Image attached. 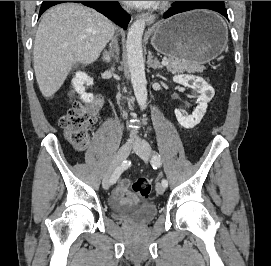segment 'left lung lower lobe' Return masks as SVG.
<instances>
[{"label":"left lung lower lobe","mask_w":271,"mask_h":266,"mask_svg":"<svg viewBox=\"0 0 271 266\" xmlns=\"http://www.w3.org/2000/svg\"><path fill=\"white\" fill-rule=\"evenodd\" d=\"M193 9H210L213 11H216L220 14H222L224 17H228L227 15V11H220V10H216L213 8H207V7H203L199 4H195V3H189V2H184V1H178V2H174L172 4V7L164 13L163 18L166 19L172 15H175L177 13H181V12H185V11H190Z\"/></svg>","instance_id":"0a47b994"}]
</instances>
